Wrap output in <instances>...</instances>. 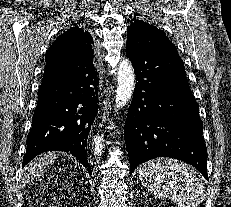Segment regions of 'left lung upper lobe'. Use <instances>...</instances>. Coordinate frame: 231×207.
Returning <instances> with one entry per match:
<instances>
[{"label":"left lung upper lobe","instance_id":"5c2ea615","mask_svg":"<svg viewBox=\"0 0 231 207\" xmlns=\"http://www.w3.org/2000/svg\"><path fill=\"white\" fill-rule=\"evenodd\" d=\"M127 48L150 50L160 53L177 52L175 45L166 37L163 30L141 20L132 23L128 29Z\"/></svg>","mask_w":231,"mask_h":207}]
</instances>
